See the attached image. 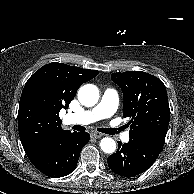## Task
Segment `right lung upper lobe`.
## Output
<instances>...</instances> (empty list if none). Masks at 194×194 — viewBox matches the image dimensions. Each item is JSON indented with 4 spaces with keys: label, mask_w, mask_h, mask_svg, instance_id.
<instances>
[{
    "label": "right lung upper lobe",
    "mask_w": 194,
    "mask_h": 194,
    "mask_svg": "<svg viewBox=\"0 0 194 194\" xmlns=\"http://www.w3.org/2000/svg\"><path fill=\"white\" fill-rule=\"evenodd\" d=\"M98 73L53 62L28 79L18 111L19 136L27 156L58 134L68 132L61 128L60 110L67 109L78 88Z\"/></svg>",
    "instance_id": "right-lung-upper-lobe-1"
}]
</instances>
